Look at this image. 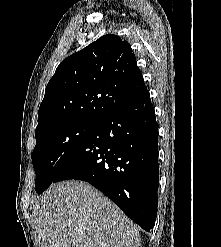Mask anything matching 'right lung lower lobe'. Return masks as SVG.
<instances>
[{"instance_id": "obj_1", "label": "right lung lower lobe", "mask_w": 221, "mask_h": 247, "mask_svg": "<svg viewBox=\"0 0 221 247\" xmlns=\"http://www.w3.org/2000/svg\"><path fill=\"white\" fill-rule=\"evenodd\" d=\"M158 134L146 90L102 119L53 183H90L149 232L157 216Z\"/></svg>"}]
</instances>
